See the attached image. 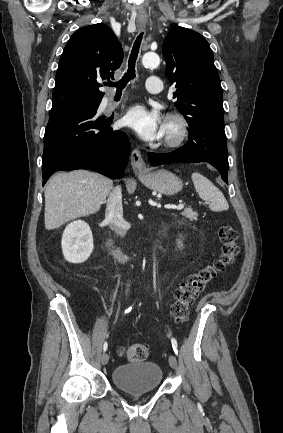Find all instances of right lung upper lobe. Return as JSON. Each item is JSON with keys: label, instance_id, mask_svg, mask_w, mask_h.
<instances>
[{"label": "right lung upper lobe", "instance_id": "cb5924a9", "mask_svg": "<svg viewBox=\"0 0 283 433\" xmlns=\"http://www.w3.org/2000/svg\"><path fill=\"white\" fill-rule=\"evenodd\" d=\"M123 60V50L107 25L80 28L68 41L59 61L50 114L100 102V80L112 78Z\"/></svg>", "mask_w": 283, "mask_h": 433}]
</instances>
